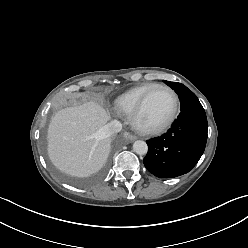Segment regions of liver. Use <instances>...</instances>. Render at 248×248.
I'll list each match as a JSON object with an SVG mask.
<instances>
[{
    "label": "liver",
    "instance_id": "1",
    "mask_svg": "<svg viewBox=\"0 0 248 248\" xmlns=\"http://www.w3.org/2000/svg\"><path fill=\"white\" fill-rule=\"evenodd\" d=\"M108 119L105 109L94 102L58 111L47 134L52 163L74 177L99 171L110 152L111 139L104 130Z\"/></svg>",
    "mask_w": 248,
    "mask_h": 248
}]
</instances>
